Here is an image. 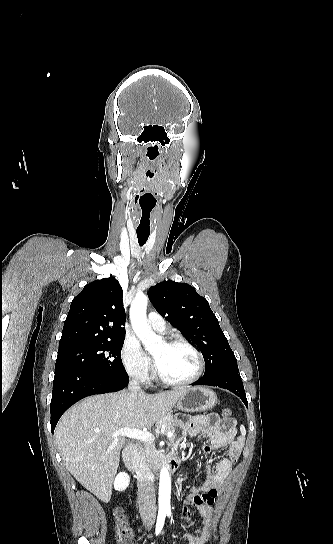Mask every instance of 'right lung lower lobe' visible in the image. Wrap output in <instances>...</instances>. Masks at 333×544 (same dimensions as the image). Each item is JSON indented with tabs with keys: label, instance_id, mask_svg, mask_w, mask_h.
I'll return each instance as SVG.
<instances>
[{
	"label": "right lung lower lobe",
	"instance_id": "right-lung-lower-lobe-1",
	"mask_svg": "<svg viewBox=\"0 0 333 544\" xmlns=\"http://www.w3.org/2000/svg\"><path fill=\"white\" fill-rule=\"evenodd\" d=\"M128 382L129 378L120 380L101 376L71 365L56 366L50 405L52 433L62 414L74 403L90 395L119 391Z\"/></svg>",
	"mask_w": 333,
	"mask_h": 544
}]
</instances>
